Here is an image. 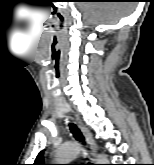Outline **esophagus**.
I'll use <instances>...</instances> for the list:
<instances>
[{
    "label": "esophagus",
    "instance_id": "esophagus-1",
    "mask_svg": "<svg viewBox=\"0 0 154 165\" xmlns=\"http://www.w3.org/2000/svg\"><path fill=\"white\" fill-rule=\"evenodd\" d=\"M76 121L78 122V124L81 128V131L90 146L92 156L95 157L96 152H97V144H96L90 130L83 124V122L81 121V119L78 116H76Z\"/></svg>",
    "mask_w": 154,
    "mask_h": 165
}]
</instances>
